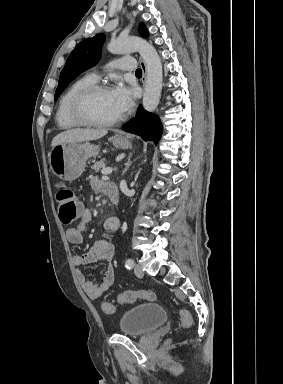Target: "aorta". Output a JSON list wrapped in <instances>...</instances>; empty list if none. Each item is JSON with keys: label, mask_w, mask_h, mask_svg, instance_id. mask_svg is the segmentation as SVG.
I'll list each match as a JSON object with an SVG mask.
<instances>
[{"label": "aorta", "mask_w": 283, "mask_h": 384, "mask_svg": "<svg viewBox=\"0 0 283 384\" xmlns=\"http://www.w3.org/2000/svg\"><path fill=\"white\" fill-rule=\"evenodd\" d=\"M107 48L113 54L139 52L147 69L143 107L145 110L153 112L159 104L163 84L162 62L155 48L139 37L118 38L111 41Z\"/></svg>", "instance_id": "1"}]
</instances>
